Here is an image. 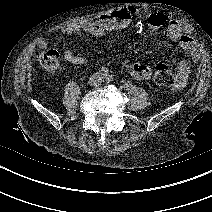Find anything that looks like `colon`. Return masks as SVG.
Instances as JSON below:
<instances>
[{
    "mask_svg": "<svg viewBox=\"0 0 212 212\" xmlns=\"http://www.w3.org/2000/svg\"><path fill=\"white\" fill-rule=\"evenodd\" d=\"M36 60L47 71L59 70L61 58L55 50H43L37 53ZM173 73L169 65L158 63L154 66L153 81L160 86H169L173 83Z\"/></svg>",
    "mask_w": 212,
    "mask_h": 212,
    "instance_id": "obj_1",
    "label": "colon"
}]
</instances>
